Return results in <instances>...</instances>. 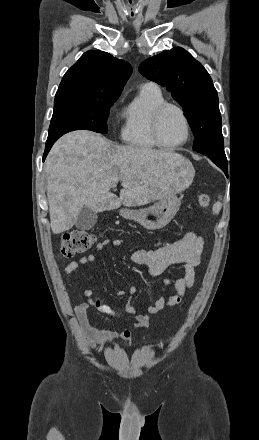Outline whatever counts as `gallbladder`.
Wrapping results in <instances>:
<instances>
[{
  "label": "gallbladder",
  "mask_w": 259,
  "mask_h": 440,
  "mask_svg": "<svg viewBox=\"0 0 259 440\" xmlns=\"http://www.w3.org/2000/svg\"><path fill=\"white\" fill-rule=\"evenodd\" d=\"M97 218L96 212L84 206L79 212L75 226L80 230H90L96 224Z\"/></svg>",
  "instance_id": "bac80fb5"
}]
</instances>
